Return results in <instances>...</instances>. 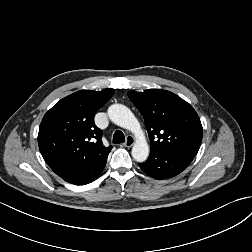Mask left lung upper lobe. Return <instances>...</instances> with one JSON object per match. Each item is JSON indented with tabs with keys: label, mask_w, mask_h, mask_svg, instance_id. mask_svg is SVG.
<instances>
[{
	"label": "left lung upper lobe",
	"mask_w": 252,
	"mask_h": 252,
	"mask_svg": "<svg viewBox=\"0 0 252 252\" xmlns=\"http://www.w3.org/2000/svg\"><path fill=\"white\" fill-rule=\"evenodd\" d=\"M128 96L145 120L150 154L184 153L195 156L203 128L194 108L176 94L160 89L129 91Z\"/></svg>",
	"instance_id": "1"
}]
</instances>
